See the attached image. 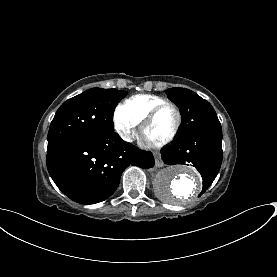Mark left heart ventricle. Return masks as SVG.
I'll return each mask as SVG.
<instances>
[{
	"label": "left heart ventricle",
	"instance_id": "b2bd125f",
	"mask_svg": "<svg viewBox=\"0 0 277 277\" xmlns=\"http://www.w3.org/2000/svg\"><path fill=\"white\" fill-rule=\"evenodd\" d=\"M176 121V111L172 107H167L161 111L154 123L147 128L144 137L151 143L159 142L172 132Z\"/></svg>",
	"mask_w": 277,
	"mask_h": 277
}]
</instances>
